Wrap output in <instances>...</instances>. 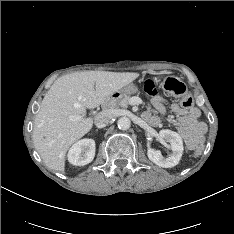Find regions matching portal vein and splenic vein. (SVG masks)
Wrapping results in <instances>:
<instances>
[{"mask_svg": "<svg viewBox=\"0 0 234 234\" xmlns=\"http://www.w3.org/2000/svg\"><path fill=\"white\" fill-rule=\"evenodd\" d=\"M82 116L80 115H70L69 116V120L73 121V122H78L82 120Z\"/></svg>", "mask_w": 234, "mask_h": 234, "instance_id": "obj_1", "label": "portal vein and splenic vein"}]
</instances>
